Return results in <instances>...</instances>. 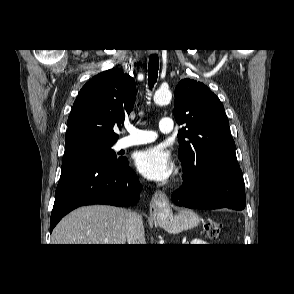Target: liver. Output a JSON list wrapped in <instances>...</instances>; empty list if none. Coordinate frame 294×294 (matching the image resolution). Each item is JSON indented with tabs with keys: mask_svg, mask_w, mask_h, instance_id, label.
Instances as JSON below:
<instances>
[{
	"mask_svg": "<svg viewBox=\"0 0 294 294\" xmlns=\"http://www.w3.org/2000/svg\"><path fill=\"white\" fill-rule=\"evenodd\" d=\"M128 212L107 205L80 207L58 223L52 233V244L123 245Z\"/></svg>",
	"mask_w": 294,
	"mask_h": 294,
	"instance_id": "obj_1",
	"label": "liver"
}]
</instances>
